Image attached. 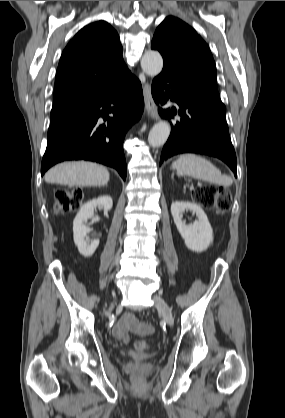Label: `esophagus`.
<instances>
[{
    "label": "esophagus",
    "mask_w": 285,
    "mask_h": 418,
    "mask_svg": "<svg viewBox=\"0 0 285 418\" xmlns=\"http://www.w3.org/2000/svg\"><path fill=\"white\" fill-rule=\"evenodd\" d=\"M143 93H144L147 115L150 116L151 118L155 119V120H158L159 115H158V112H157V107H156V104H155V102L152 98L150 86H149L148 83L144 84Z\"/></svg>",
    "instance_id": "34e87169"
}]
</instances>
